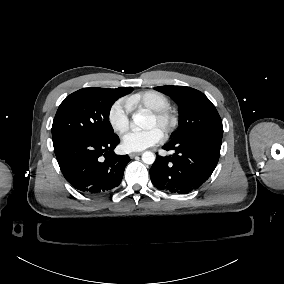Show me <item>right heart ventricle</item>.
Listing matches in <instances>:
<instances>
[{
  "instance_id": "obj_1",
  "label": "right heart ventricle",
  "mask_w": 284,
  "mask_h": 284,
  "mask_svg": "<svg viewBox=\"0 0 284 284\" xmlns=\"http://www.w3.org/2000/svg\"><path fill=\"white\" fill-rule=\"evenodd\" d=\"M134 104H139L152 111L168 110L171 107L170 99L162 92L146 90L133 98Z\"/></svg>"
}]
</instances>
